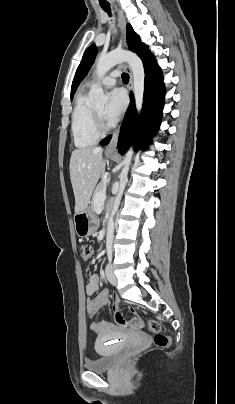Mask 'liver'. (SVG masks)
<instances>
[{"mask_svg":"<svg viewBox=\"0 0 235 404\" xmlns=\"http://www.w3.org/2000/svg\"><path fill=\"white\" fill-rule=\"evenodd\" d=\"M100 147L73 150L70 158V179L75 197V212L85 210L93 190L105 172V160Z\"/></svg>","mask_w":235,"mask_h":404,"instance_id":"obj_1","label":"liver"}]
</instances>
